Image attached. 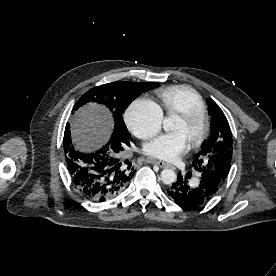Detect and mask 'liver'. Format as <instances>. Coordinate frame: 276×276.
Instances as JSON below:
<instances>
[{
	"mask_svg": "<svg viewBox=\"0 0 276 276\" xmlns=\"http://www.w3.org/2000/svg\"><path fill=\"white\" fill-rule=\"evenodd\" d=\"M112 120L101 106L90 103L79 109L71 123L74 144L81 151H92L110 137Z\"/></svg>",
	"mask_w": 276,
	"mask_h": 276,
	"instance_id": "liver-1",
	"label": "liver"
}]
</instances>
